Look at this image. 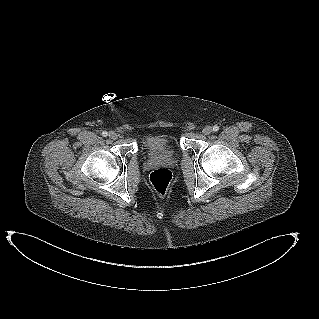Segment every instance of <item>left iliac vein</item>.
Returning <instances> with one entry per match:
<instances>
[{
  "instance_id": "obj_1",
  "label": "left iliac vein",
  "mask_w": 319,
  "mask_h": 319,
  "mask_svg": "<svg viewBox=\"0 0 319 319\" xmlns=\"http://www.w3.org/2000/svg\"><path fill=\"white\" fill-rule=\"evenodd\" d=\"M211 132H212V127L210 126H206L202 131L204 135H209Z\"/></svg>"
}]
</instances>
